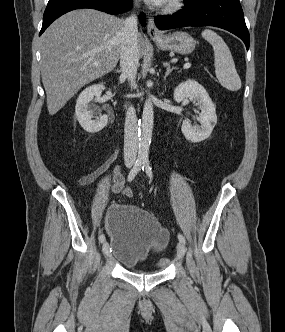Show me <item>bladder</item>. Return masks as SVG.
<instances>
[{"label":"bladder","instance_id":"31cf9c89","mask_svg":"<svg viewBox=\"0 0 285 332\" xmlns=\"http://www.w3.org/2000/svg\"><path fill=\"white\" fill-rule=\"evenodd\" d=\"M111 256L122 265L134 268L152 250L163 247L166 230L147 211L134 205H116L106 220Z\"/></svg>","mask_w":285,"mask_h":332}]
</instances>
